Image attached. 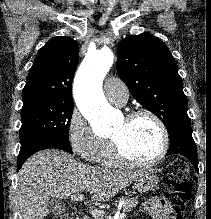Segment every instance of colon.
<instances>
[{"instance_id":"obj_1","label":"colon","mask_w":211,"mask_h":219,"mask_svg":"<svg viewBox=\"0 0 211 219\" xmlns=\"http://www.w3.org/2000/svg\"><path fill=\"white\" fill-rule=\"evenodd\" d=\"M168 189L166 201L172 208L175 219H182L189 200L190 182L186 179L188 166L181 159L173 160L166 169ZM49 219H76L72 213L67 217H50Z\"/></svg>"}]
</instances>
